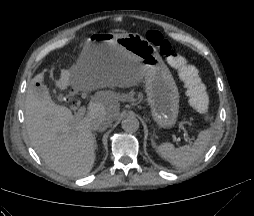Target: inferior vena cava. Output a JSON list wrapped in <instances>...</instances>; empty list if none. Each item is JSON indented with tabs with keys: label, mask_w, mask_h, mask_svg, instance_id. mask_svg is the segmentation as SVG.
I'll return each mask as SVG.
<instances>
[{
	"label": "inferior vena cava",
	"mask_w": 254,
	"mask_h": 216,
	"mask_svg": "<svg viewBox=\"0 0 254 216\" xmlns=\"http://www.w3.org/2000/svg\"><path fill=\"white\" fill-rule=\"evenodd\" d=\"M111 122L107 120L105 117H94L90 120V129L93 131L100 130L104 131L110 126Z\"/></svg>",
	"instance_id": "602c4592"
}]
</instances>
